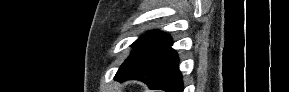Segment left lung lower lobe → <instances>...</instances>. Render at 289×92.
Masks as SVG:
<instances>
[{"label":"left lung lower lobe","instance_id":"0a47b994","mask_svg":"<svg viewBox=\"0 0 289 92\" xmlns=\"http://www.w3.org/2000/svg\"><path fill=\"white\" fill-rule=\"evenodd\" d=\"M171 46L170 36L161 35L140 56L120 68L114 79H138L146 83L150 89L183 92L178 56Z\"/></svg>","mask_w":289,"mask_h":92}]
</instances>
